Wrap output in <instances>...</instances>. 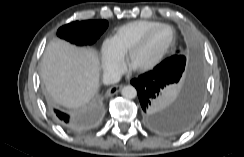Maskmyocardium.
Wrapping results in <instances>:
<instances>
[{
    "mask_svg": "<svg viewBox=\"0 0 244 157\" xmlns=\"http://www.w3.org/2000/svg\"><path fill=\"white\" fill-rule=\"evenodd\" d=\"M166 27L170 28L173 31V38L171 43L150 63L140 66V67H133L132 61L135 56V54L142 48V46L145 44L149 36L157 29ZM177 39V34L175 28L168 23H159L150 29H148L142 36L141 38L129 49V51L126 53V63L133 68L135 71L138 72H147L155 68L165 57L166 55L170 52V50L174 47Z\"/></svg>",
    "mask_w": 244,
    "mask_h": 157,
    "instance_id": "f54148a6",
    "label": "myocardium"
}]
</instances>
